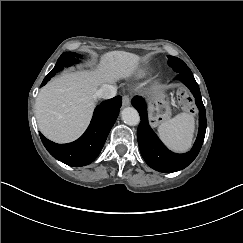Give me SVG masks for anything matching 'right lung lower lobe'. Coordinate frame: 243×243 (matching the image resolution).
<instances>
[{
    "label": "right lung lower lobe",
    "instance_id": "right-lung-lower-lobe-1",
    "mask_svg": "<svg viewBox=\"0 0 243 243\" xmlns=\"http://www.w3.org/2000/svg\"><path fill=\"white\" fill-rule=\"evenodd\" d=\"M121 104L122 97L116 96L97 106L88 129L78 140L57 144L40 134L43 145L53 157L69 166L90 164L99 155L117 119Z\"/></svg>",
    "mask_w": 243,
    "mask_h": 243
}]
</instances>
